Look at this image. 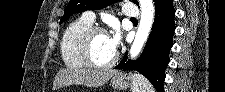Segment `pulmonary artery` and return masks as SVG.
Listing matches in <instances>:
<instances>
[{
  "label": "pulmonary artery",
  "mask_w": 225,
  "mask_h": 92,
  "mask_svg": "<svg viewBox=\"0 0 225 92\" xmlns=\"http://www.w3.org/2000/svg\"><path fill=\"white\" fill-rule=\"evenodd\" d=\"M122 12L125 16H127L130 19H134L138 16V12L136 10H123ZM83 17L92 23L95 22L96 19L95 14L91 11L85 12Z\"/></svg>",
  "instance_id": "e3ab8cb5"
}]
</instances>
